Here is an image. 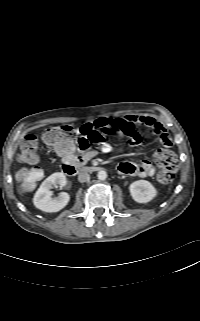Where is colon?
<instances>
[{
	"mask_svg": "<svg viewBox=\"0 0 200 321\" xmlns=\"http://www.w3.org/2000/svg\"><path fill=\"white\" fill-rule=\"evenodd\" d=\"M106 131L95 130L87 126L73 127L69 125H58L48 128L43 134L45 143L58 151H69L74 145L85 151L92 143L104 141ZM21 161L28 164H36L39 160L38 139L35 135H27L19 152ZM159 166L157 180L161 184H168L173 179L178 169V162L171 150H165L156 158ZM43 172L39 167L22 168L17 173V178L26 190L32 189L36 182L42 177Z\"/></svg>",
	"mask_w": 200,
	"mask_h": 321,
	"instance_id": "colon-1",
	"label": "colon"
}]
</instances>
